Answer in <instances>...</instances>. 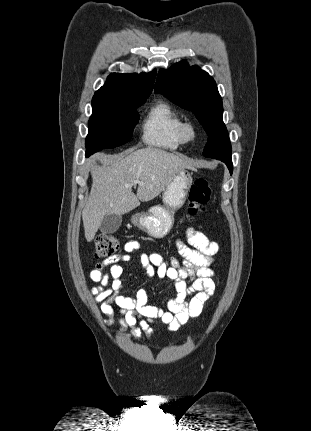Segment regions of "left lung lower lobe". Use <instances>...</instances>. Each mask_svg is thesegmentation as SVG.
I'll use <instances>...</instances> for the list:
<instances>
[{"label": "left lung lower lobe", "mask_w": 311, "mask_h": 431, "mask_svg": "<svg viewBox=\"0 0 311 431\" xmlns=\"http://www.w3.org/2000/svg\"><path fill=\"white\" fill-rule=\"evenodd\" d=\"M219 160H221L222 162H224L227 165L228 169L230 170V173L232 174L233 165H232L231 155L223 156Z\"/></svg>", "instance_id": "obj_1"}]
</instances>
